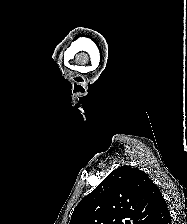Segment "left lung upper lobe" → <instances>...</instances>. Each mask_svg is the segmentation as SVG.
Instances as JSON below:
<instances>
[{
  "mask_svg": "<svg viewBox=\"0 0 187 224\" xmlns=\"http://www.w3.org/2000/svg\"><path fill=\"white\" fill-rule=\"evenodd\" d=\"M162 198L144 171L121 166L79 202L69 224H149Z\"/></svg>",
  "mask_w": 187,
  "mask_h": 224,
  "instance_id": "obj_1",
  "label": "left lung upper lobe"
}]
</instances>
